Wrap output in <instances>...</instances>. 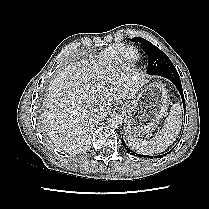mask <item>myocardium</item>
Segmentation results:
<instances>
[{
    "instance_id": "f54148a6",
    "label": "myocardium",
    "mask_w": 209,
    "mask_h": 209,
    "mask_svg": "<svg viewBox=\"0 0 209 209\" xmlns=\"http://www.w3.org/2000/svg\"><path fill=\"white\" fill-rule=\"evenodd\" d=\"M128 51H133L134 54H136V50L132 47H129V46H126V47H123L119 56H118V60L121 62V63H131V58H127L126 57V53Z\"/></svg>"
}]
</instances>
